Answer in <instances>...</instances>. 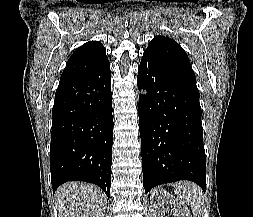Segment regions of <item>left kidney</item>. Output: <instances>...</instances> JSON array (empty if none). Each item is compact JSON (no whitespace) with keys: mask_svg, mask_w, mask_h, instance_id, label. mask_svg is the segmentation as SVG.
<instances>
[{"mask_svg":"<svg viewBox=\"0 0 253 217\" xmlns=\"http://www.w3.org/2000/svg\"><path fill=\"white\" fill-rule=\"evenodd\" d=\"M151 203L154 209L155 217H167L165 216L166 210L164 205H168L170 207L171 213L174 217H192L184 202L178 200L162 188L154 190Z\"/></svg>","mask_w":253,"mask_h":217,"instance_id":"obj_1","label":"left kidney"}]
</instances>
